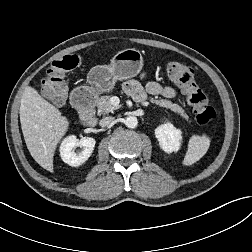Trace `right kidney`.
I'll return each instance as SVG.
<instances>
[{
  "mask_svg": "<svg viewBox=\"0 0 252 252\" xmlns=\"http://www.w3.org/2000/svg\"><path fill=\"white\" fill-rule=\"evenodd\" d=\"M95 143V139L91 137H83L79 140L74 135L68 136L60 145L61 159L70 166L78 167L91 156ZM76 147H83V150L76 153Z\"/></svg>",
  "mask_w": 252,
  "mask_h": 252,
  "instance_id": "obj_1",
  "label": "right kidney"
}]
</instances>
